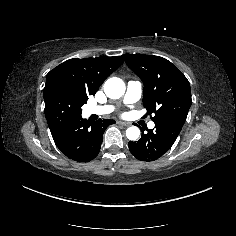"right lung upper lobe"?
<instances>
[{"label":"right lung upper lobe","instance_id":"obj_1","mask_svg":"<svg viewBox=\"0 0 236 236\" xmlns=\"http://www.w3.org/2000/svg\"><path fill=\"white\" fill-rule=\"evenodd\" d=\"M123 61L122 56L69 59L47 74L46 84L63 81L88 99V96L94 95L104 80L119 68Z\"/></svg>","mask_w":236,"mask_h":236}]
</instances>
